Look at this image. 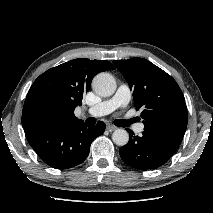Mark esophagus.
I'll return each mask as SVG.
<instances>
[{
  "label": "esophagus",
  "mask_w": 213,
  "mask_h": 213,
  "mask_svg": "<svg viewBox=\"0 0 213 213\" xmlns=\"http://www.w3.org/2000/svg\"><path fill=\"white\" fill-rule=\"evenodd\" d=\"M106 129L110 132L114 131L117 129V127H115L114 125H111V124H107L106 125Z\"/></svg>",
  "instance_id": "obj_1"
}]
</instances>
